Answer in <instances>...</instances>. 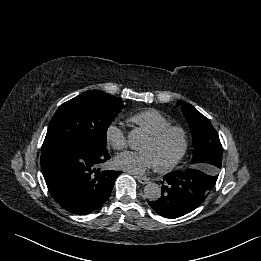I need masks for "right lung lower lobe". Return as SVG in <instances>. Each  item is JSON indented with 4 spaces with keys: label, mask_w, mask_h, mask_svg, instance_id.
Segmentation results:
<instances>
[{
    "label": "right lung lower lobe",
    "mask_w": 261,
    "mask_h": 261,
    "mask_svg": "<svg viewBox=\"0 0 261 261\" xmlns=\"http://www.w3.org/2000/svg\"><path fill=\"white\" fill-rule=\"evenodd\" d=\"M110 159L106 149L58 148L41 152V169L53 199L67 211L89 214L110 196L119 171L96 167Z\"/></svg>",
    "instance_id": "1"
}]
</instances>
